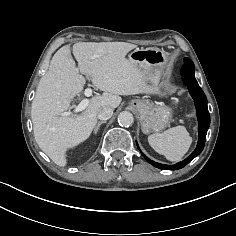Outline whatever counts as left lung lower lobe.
Returning <instances> with one entry per match:
<instances>
[{
	"instance_id": "0a47b994",
	"label": "left lung lower lobe",
	"mask_w": 236,
	"mask_h": 236,
	"mask_svg": "<svg viewBox=\"0 0 236 236\" xmlns=\"http://www.w3.org/2000/svg\"><path fill=\"white\" fill-rule=\"evenodd\" d=\"M194 70H195V67H194L193 62L189 58H184V66L182 68L181 73L183 75L184 83L187 85L188 90L194 99L197 117L199 121V127H198L199 139H198L197 147L190 156H188L185 160L175 165H164V164L154 162L141 152L143 157L150 164H152L153 166L157 168L164 169V170L181 169L184 166H186L191 160H193L196 156H198L204 148L207 130L210 126V114L208 112L206 96L195 79Z\"/></svg>"
}]
</instances>
